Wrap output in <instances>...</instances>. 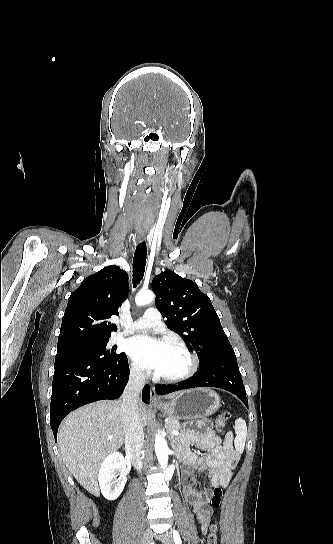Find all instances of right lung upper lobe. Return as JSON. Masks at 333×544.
<instances>
[{"label": "right lung upper lobe", "mask_w": 333, "mask_h": 544, "mask_svg": "<svg viewBox=\"0 0 333 544\" xmlns=\"http://www.w3.org/2000/svg\"><path fill=\"white\" fill-rule=\"evenodd\" d=\"M129 291L128 275L118 266L103 268L85 278L68 299L57 350L84 342L109 339L116 325L108 322Z\"/></svg>", "instance_id": "1"}]
</instances>
